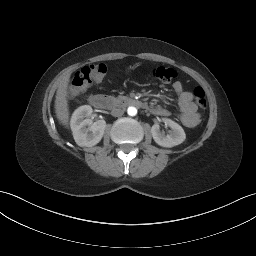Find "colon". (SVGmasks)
Returning a JSON list of instances; mask_svg holds the SVG:
<instances>
[{"instance_id":"obj_1","label":"colon","mask_w":256,"mask_h":256,"mask_svg":"<svg viewBox=\"0 0 256 256\" xmlns=\"http://www.w3.org/2000/svg\"><path fill=\"white\" fill-rule=\"evenodd\" d=\"M106 73V66L102 63L85 66L77 71L70 83L69 93L71 97L82 94L93 82H99ZM151 75L161 83H170L176 78V72L172 68L158 66L150 70ZM193 102L204 110L207 107L206 94L203 88L195 87L193 90Z\"/></svg>"}]
</instances>
